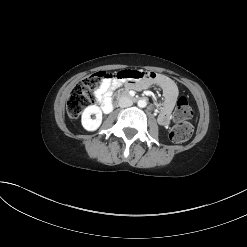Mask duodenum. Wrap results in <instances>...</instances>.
<instances>
[{"label":"duodenum","instance_id":"obj_1","mask_svg":"<svg viewBox=\"0 0 247 247\" xmlns=\"http://www.w3.org/2000/svg\"><path fill=\"white\" fill-rule=\"evenodd\" d=\"M119 97H126L128 100L130 99L131 101L133 100L134 102H136L137 100L138 101H140V100H146L147 102L150 100L148 97L146 98L145 96H143V95H140V96H136V97H130L129 95H128V93H127V91H125V90H118V91H116V93L114 94V96H113V100H112V103H113V105H118V103H119Z\"/></svg>","mask_w":247,"mask_h":247}]
</instances>
